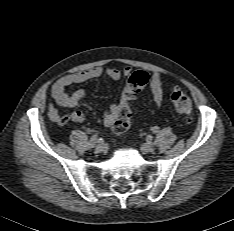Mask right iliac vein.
<instances>
[{
    "label": "right iliac vein",
    "mask_w": 234,
    "mask_h": 231,
    "mask_svg": "<svg viewBox=\"0 0 234 231\" xmlns=\"http://www.w3.org/2000/svg\"><path fill=\"white\" fill-rule=\"evenodd\" d=\"M107 146L105 143H100L98 145L95 146V152L96 153H102L106 150Z\"/></svg>",
    "instance_id": "obj_1"
}]
</instances>
